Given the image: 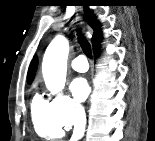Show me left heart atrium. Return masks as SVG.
Here are the masks:
<instances>
[{
	"instance_id": "obj_1",
	"label": "left heart atrium",
	"mask_w": 155,
	"mask_h": 141,
	"mask_svg": "<svg viewBox=\"0 0 155 141\" xmlns=\"http://www.w3.org/2000/svg\"><path fill=\"white\" fill-rule=\"evenodd\" d=\"M71 92L76 100H84L89 93V86L84 78H76L71 83Z\"/></svg>"
}]
</instances>
